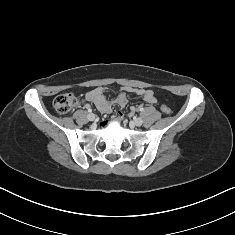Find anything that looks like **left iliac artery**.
<instances>
[{
	"label": "left iliac artery",
	"mask_w": 235,
	"mask_h": 235,
	"mask_svg": "<svg viewBox=\"0 0 235 235\" xmlns=\"http://www.w3.org/2000/svg\"><path fill=\"white\" fill-rule=\"evenodd\" d=\"M143 110H144V108H143V107H139V111H141V112H142Z\"/></svg>",
	"instance_id": "obj_1"
}]
</instances>
